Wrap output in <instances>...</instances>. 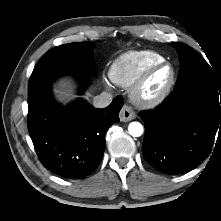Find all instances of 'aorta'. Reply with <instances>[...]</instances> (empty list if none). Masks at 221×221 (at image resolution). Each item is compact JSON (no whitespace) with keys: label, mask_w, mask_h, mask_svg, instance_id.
<instances>
[{"label":"aorta","mask_w":221,"mask_h":221,"mask_svg":"<svg viewBox=\"0 0 221 221\" xmlns=\"http://www.w3.org/2000/svg\"><path fill=\"white\" fill-rule=\"evenodd\" d=\"M143 126L139 122H131L128 126V132L133 137H139L143 134Z\"/></svg>","instance_id":"1"}]
</instances>
